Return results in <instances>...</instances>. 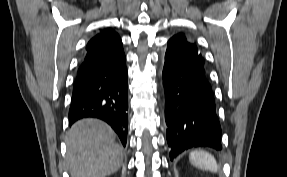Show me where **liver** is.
Instances as JSON below:
<instances>
[{
  "mask_svg": "<svg viewBox=\"0 0 287 177\" xmlns=\"http://www.w3.org/2000/svg\"><path fill=\"white\" fill-rule=\"evenodd\" d=\"M66 161L71 177H105L122 164V148L115 133L97 119L76 122L67 133Z\"/></svg>",
  "mask_w": 287,
  "mask_h": 177,
  "instance_id": "1",
  "label": "liver"
}]
</instances>
